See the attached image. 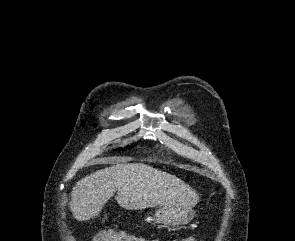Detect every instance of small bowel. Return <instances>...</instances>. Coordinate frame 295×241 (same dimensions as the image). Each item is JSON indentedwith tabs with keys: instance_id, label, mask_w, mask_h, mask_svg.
<instances>
[{
	"instance_id": "obj_1",
	"label": "small bowel",
	"mask_w": 295,
	"mask_h": 241,
	"mask_svg": "<svg viewBox=\"0 0 295 241\" xmlns=\"http://www.w3.org/2000/svg\"><path fill=\"white\" fill-rule=\"evenodd\" d=\"M188 241H192L194 239H186ZM131 241H147V240H144L142 238H138V237H131ZM185 241V240H184Z\"/></svg>"
}]
</instances>
